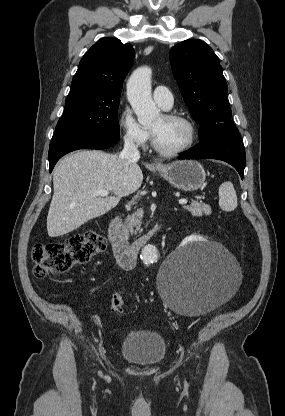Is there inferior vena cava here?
Returning a JSON list of instances; mask_svg holds the SVG:
<instances>
[{"mask_svg": "<svg viewBox=\"0 0 285 416\" xmlns=\"http://www.w3.org/2000/svg\"><path fill=\"white\" fill-rule=\"evenodd\" d=\"M119 158L122 160L125 168H129L131 164H136L140 158L138 148L135 146L133 138L130 136V134H126L124 138V148Z\"/></svg>", "mask_w": 285, "mask_h": 416, "instance_id": "602c4592", "label": "inferior vena cava"}]
</instances>
